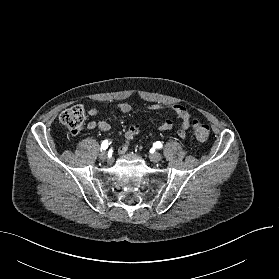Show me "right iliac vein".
<instances>
[{"instance_id":"1","label":"right iliac vein","mask_w":279,"mask_h":279,"mask_svg":"<svg viewBox=\"0 0 279 279\" xmlns=\"http://www.w3.org/2000/svg\"><path fill=\"white\" fill-rule=\"evenodd\" d=\"M99 157H100V159L103 160V161L109 159V156H108V153H107V152H102V153L100 154Z\"/></svg>"}]
</instances>
